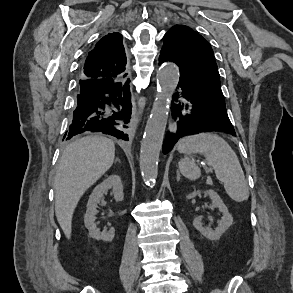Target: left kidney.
<instances>
[{"label": "left kidney", "instance_id": "obj_1", "mask_svg": "<svg viewBox=\"0 0 293 293\" xmlns=\"http://www.w3.org/2000/svg\"><path fill=\"white\" fill-rule=\"evenodd\" d=\"M200 193V191H194L188 194L186 198L192 199ZM204 193L212 200V206L218 208L223 216L220 220H218V226L214 230L209 227L203 226L201 217L194 218L193 226L207 239L218 240L222 236V234H224L225 231L232 225L233 217L229 213L228 208L223 203L220 196L214 190H206Z\"/></svg>", "mask_w": 293, "mask_h": 293}]
</instances>
